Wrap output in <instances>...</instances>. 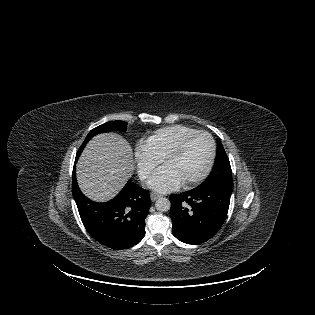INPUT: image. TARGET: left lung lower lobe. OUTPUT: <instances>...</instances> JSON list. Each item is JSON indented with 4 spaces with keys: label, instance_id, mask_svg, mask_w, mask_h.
Segmentation results:
<instances>
[{
    "label": "left lung lower lobe",
    "instance_id": "left-lung-lower-lobe-1",
    "mask_svg": "<svg viewBox=\"0 0 315 315\" xmlns=\"http://www.w3.org/2000/svg\"><path fill=\"white\" fill-rule=\"evenodd\" d=\"M233 187L204 186L171 195L173 235L187 244H201L221 228L229 209Z\"/></svg>",
    "mask_w": 315,
    "mask_h": 315
}]
</instances>
